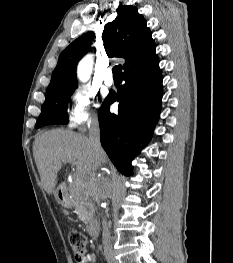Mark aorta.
<instances>
[{"instance_id":"1","label":"aorta","mask_w":233,"mask_h":263,"mask_svg":"<svg viewBox=\"0 0 233 263\" xmlns=\"http://www.w3.org/2000/svg\"><path fill=\"white\" fill-rule=\"evenodd\" d=\"M92 60L90 57H85L78 65L77 75L82 82H86L91 75Z\"/></svg>"}]
</instances>
